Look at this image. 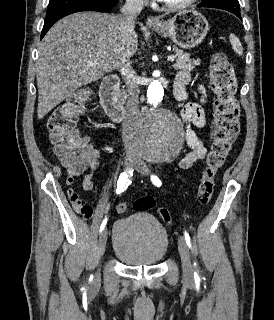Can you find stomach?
<instances>
[{
  "label": "stomach",
  "mask_w": 274,
  "mask_h": 320,
  "mask_svg": "<svg viewBox=\"0 0 274 320\" xmlns=\"http://www.w3.org/2000/svg\"><path fill=\"white\" fill-rule=\"evenodd\" d=\"M162 24L163 26H149V28L157 34L168 36L176 46L184 50H191L201 44L209 30L205 16L195 10L178 12L173 18Z\"/></svg>",
  "instance_id": "1"
}]
</instances>
